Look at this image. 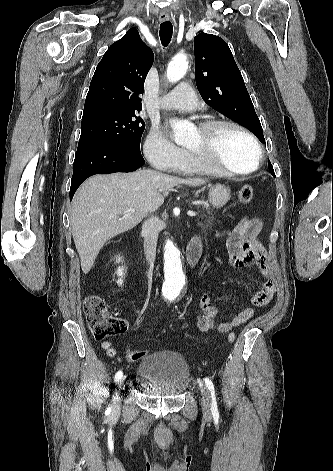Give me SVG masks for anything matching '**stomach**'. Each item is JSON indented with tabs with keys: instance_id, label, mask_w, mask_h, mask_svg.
<instances>
[{
	"instance_id": "1",
	"label": "stomach",
	"mask_w": 333,
	"mask_h": 471,
	"mask_svg": "<svg viewBox=\"0 0 333 471\" xmlns=\"http://www.w3.org/2000/svg\"><path fill=\"white\" fill-rule=\"evenodd\" d=\"M208 198L214 208H222L230 199V190L225 185L216 184L210 187Z\"/></svg>"
}]
</instances>
